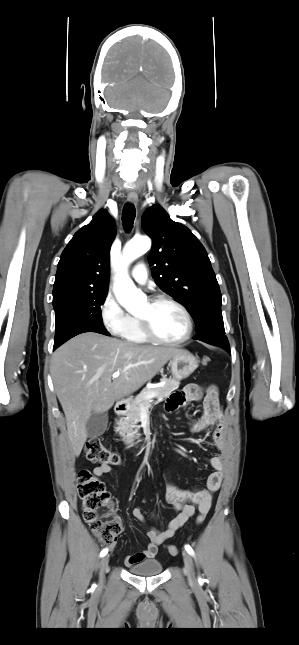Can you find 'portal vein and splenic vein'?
Instances as JSON below:
<instances>
[{
	"instance_id": "1",
	"label": "portal vein and splenic vein",
	"mask_w": 299,
	"mask_h": 645,
	"mask_svg": "<svg viewBox=\"0 0 299 645\" xmlns=\"http://www.w3.org/2000/svg\"><path fill=\"white\" fill-rule=\"evenodd\" d=\"M120 374H121V372H120V371H116V372H114V373L112 374V377H113V378H117ZM155 395H156V393H151V394L147 395V396H146V398H147V399H151V398H153Z\"/></svg>"
}]
</instances>
